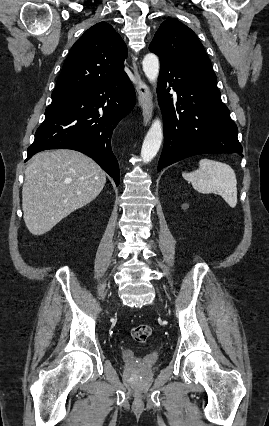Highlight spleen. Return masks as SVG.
Masks as SVG:
<instances>
[{"mask_svg":"<svg viewBox=\"0 0 269 426\" xmlns=\"http://www.w3.org/2000/svg\"><path fill=\"white\" fill-rule=\"evenodd\" d=\"M182 176L193 188L203 194H218L234 208L237 204V180L234 170L219 161L201 159L199 168L193 172H183Z\"/></svg>","mask_w":269,"mask_h":426,"instance_id":"1","label":"spleen"}]
</instances>
